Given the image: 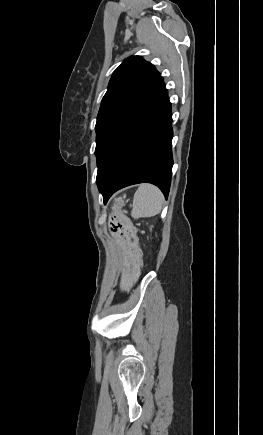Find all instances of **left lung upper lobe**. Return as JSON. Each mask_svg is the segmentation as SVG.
Listing matches in <instances>:
<instances>
[{
    "label": "left lung upper lobe",
    "mask_w": 263,
    "mask_h": 435,
    "mask_svg": "<svg viewBox=\"0 0 263 435\" xmlns=\"http://www.w3.org/2000/svg\"><path fill=\"white\" fill-rule=\"evenodd\" d=\"M165 89L161 74L141 56H131L114 71L96 122L98 169L125 128Z\"/></svg>",
    "instance_id": "left-lung-upper-lobe-1"
}]
</instances>
